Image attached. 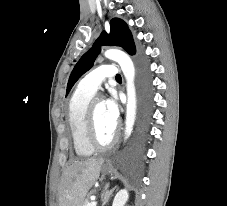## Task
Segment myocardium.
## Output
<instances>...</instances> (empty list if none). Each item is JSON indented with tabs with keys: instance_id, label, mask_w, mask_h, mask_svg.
<instances>
[{
	"instance_id": "f54148a6",
	"label": "myocardium",
	"mask_w": 227,
	"mask_h": 206,
	"mask_svg": "<svg viewBox=\"0 0 227 206\" xmlns=\"http://www.w3.org/2000/svg\"><path fill=\"white\" fill-rule=\"evenodd\" d=\"M100 100H101L100 98H94V99H92V101L90 102V104L88 106L87 116H86V138H87L89 145L92 148L97 149V150H105V149L110 148L117 142L118 136H119V131L116 128L113 133L112 138L107 143H102L99 140V138L97 136V131H96L95 109H96L97 102Z\"/></svg>"
}]
</instances>
